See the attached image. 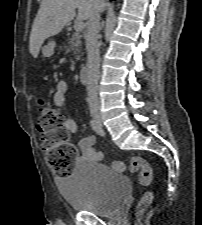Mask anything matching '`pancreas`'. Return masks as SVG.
Wrapping results in <instances>:
<instances>
[{
  "label": "pancreas",
  "instance_id": "cf45deb5",
  "mask_svg": "<svg viewBox=\"0 0 202 225\" xmlns=\"http://www.w3.org/2000/svg\"><path fill=\"white\" fill-rule=\"evenodd\" d=\"M66 51H73L74 54H77L80 52L81 49V35L77 32L72 35V37L69 39V47H65ZM79 55L76 56V59H79Z\"/></svg>",
  "mask_w": 202,
  "mask_h": 225
}]
</instances>
